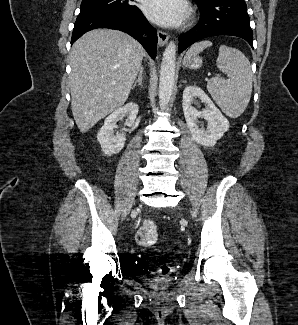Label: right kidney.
Returning a JSON list of instances; mask_svg holds the SVG:
<instances>
[{
    "mask_svg": "<svg viewBox=\"0 0 298 325\" xmlns=\"http://www.w3.org/2000/svg\"><path fill=\"white\" fill-rule=\"evenodd\" d=\"M138 110L139 106L136 102H127V104H124L121 108H117V110H114L112 114H109V116L105 118L104 124L97 134V140H99L104 154L111 156V154H115V152H120V150H122L125 144L126 134L125 132L114 134V128H117L118 120H122L124 116H126L125 124H127V126H132L138 114ZM124 130H128V128H124Z\"/></svg>",
    "mask_w": 298,
    "mask_h": 325,
    "instance_id": "right-kidney-1",
    "label": "right kidney"
}]
</instances>
